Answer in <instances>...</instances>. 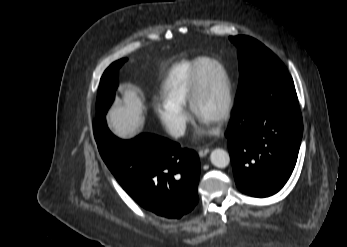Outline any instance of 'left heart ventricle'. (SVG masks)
<instances>
[{"instance_id":"left-heart-ventricle-1","label":"left heart ventricle","mask_w":347,"mask_h":247,"mask_svg":"<svg viewBox=\"0 0 347 247\" xmlns=\"http://www.w3.org/2000/svg\"><path fill=\"white\" fill-rule=\"evenodd\" d=\"M201 90L198 102L199 118L214 121L224 102V86L220 71L204 63L200 71Z\"/></svg>"}]
</instances>
